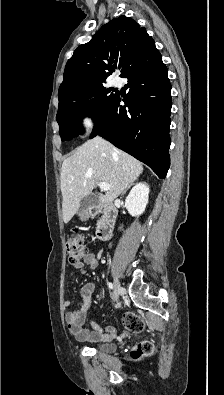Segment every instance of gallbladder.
I'll return each instance as SVG.
<instances>
[{"label":"gallbladder","mask_w":224,"mask_h":395,"mask_svg":"<svg viewBox=\"0 0 224 395\" xmlns=\"http://www.w3.org/2000/svg\"><path fill=\"white\" fill-rule=\"evenodd\" d=\"M98 202H99V198L95 194H89L85 196L80 203L78 213L79 214L84 213L87 209L96 206Z\"/></svg>","instance_id":"gallbladder-1"}]
</instances>
